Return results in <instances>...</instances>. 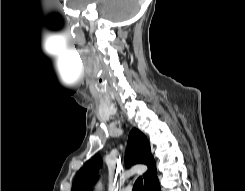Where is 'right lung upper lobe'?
<instances>
[{
  "label": "right lung upper lobe",
  "mask_w": 245,
  "mask_h": 191,
  "mask_svg": "<svg viewBox=\"0 0 245 191\" xmlns=\"http://www.w3.org/2000/svg\"><path fill=\"white\" fill-rule=\"evenodd\" d=\"M128 163H141L148 167L143 174L145 185L157 177L155 161L151 155L150 145L146 136L139 130L133 129L129 134L127 157ZM101 165V157L95 156L78 171L71 191H90L95 182L96 173Z\"/></svg>",
  "instance_id": "1"
}]
</instances>
